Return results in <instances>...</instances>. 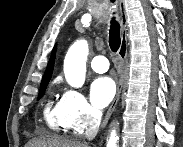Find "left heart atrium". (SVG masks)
<instances>
[{"label":"left heart atrium","instance_id":"39dd6f15","mask_svg":"<svg viewBox=\"0 0 183 147\" xmlns=\"http://www.w3.org/2000/svg\"><path fill=\"white\" fill-rule=\"evenodd\" d=\"M116 85L112 78L102 76L96 78L90 86V99L96 108L106 107L113 99Z\"/></svg>","mask_w":183,"mask_h":147}]
</instances>
